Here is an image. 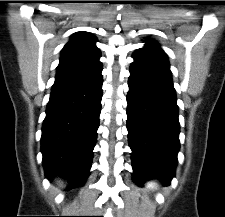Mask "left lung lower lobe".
<instances>
[{"label":"left lung lower lobe","mask_w":225,"mask_h":217,"mask_svg":"<svg viewBox=\"0 0 225 217\" xmlns=\"http://www.w3.org/2000/svg\"><path fill=\"white\" fill-rule=\"evenodd\" d=\"M128 86L127 129L133 179L142 184L158 178L168 185L175 175L180 147L171 71L131 64Z\"/></svg>","instance_id":"obj_1"}]
</instances>
